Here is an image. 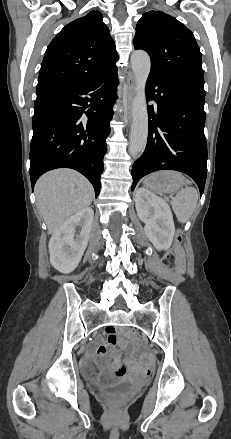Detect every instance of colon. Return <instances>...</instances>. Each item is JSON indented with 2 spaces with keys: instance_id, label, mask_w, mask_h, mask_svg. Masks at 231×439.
Here are the masks:
<instances>
[{
  "instance_id": "obj_1",
  "label": "colon",
  "mask_w": 231,
  "mask_h": 439,
  "mask_svg": "<svg viewBox=\"0 0 231 439\" xmlns=\"http://www.w3.org/2000/svg\"><path fill=\"white\" fill-rule=\"evenodd\" d=\"M181 242H182V234L178 232L175 237V245L173 251L168 253L163 260V264L165 267L175 268L176 266L180 267L183 265V255L180 249ZM128 335L131 339L138 340V333L136 331L131 330L128 332ZM119 373H123V371ZM122 399H123L122 396L114 395L112 397V403L114 405H120Z\"/></svg>"
}]
</instances>
